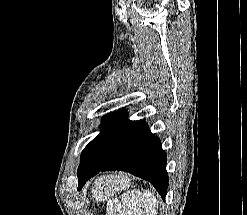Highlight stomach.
<instances>
[{
	"label": "stomach",
	"mask_w": 247,
	"mask_h": 215,
	"mask_svg": "<svg viewBox=\"0 0 247 215\" xmlns=\"http://www.w3.org/2000/svg\"><path fill=\"white\" fill-rule=\"evenodd\" d=\"M126 185L122 184L121 178L101 177L95 181L93 192L97 198H106Z\"/></svg>",
	"instance_id": "stomach-1"
}]
</instances>
